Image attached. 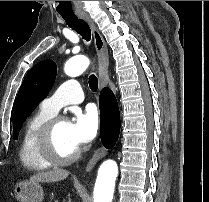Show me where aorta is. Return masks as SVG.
Here are the masks:
<instances>
[{"instance_id":"obj_1","label":"aorta","mask_w":209,"mask_h":202,"mask_svg":"<svg viewBox=\"0 0 209 202\" xmlns=\"http://www.w3.org/2000/svg\"><path fill=\"white\" fill-rule=\"evenodd\" d=\"M88 65L87 57L75 56L65 63L64 71L68 76L76 77L81 75ZM117 175L118 166L115 161L106 160L101 164L93 192L94 202H112Z\"/></svg>"}]
</instances>
